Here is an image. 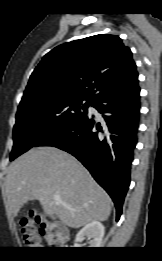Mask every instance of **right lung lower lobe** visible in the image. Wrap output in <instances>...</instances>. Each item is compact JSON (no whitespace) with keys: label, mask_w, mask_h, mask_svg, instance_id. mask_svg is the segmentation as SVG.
I'll list each match as a JSON object with an SVG mask.
<instances>
[{"label":"right lung lower lobe","mask_w":162,"mask_h":261,"mask_svg":"<svg viewBox=\"0 0 162 261\" xmlns=\"http://www.w3.org/2000/svg\"><path fill=\"white\" fill-rule=\"evenodd\" d=\"M140 88L106 94L93 101L102 114L88 115L50 133L37 146H53L75 156L107 191L116 207V221L130 185L133 151L137 143Z\"/></svg>","instance_id":"1"}]
</instances>
